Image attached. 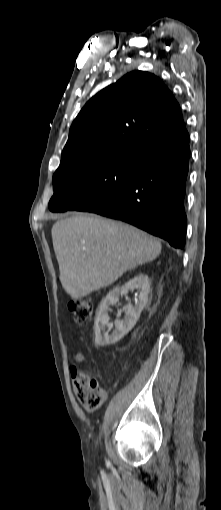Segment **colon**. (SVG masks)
Instances as JSON below:
<instances>
[{
	"mask_svg": "<svg viewBox=\"0 0 221 510\" xmlns=\"http://www.w3.org/2000/svg\"><path fill=\"white\" fill-rule=\"evenodd\" d=\"M76 323H84L88 320L92 312V303L88 299L73 300L68 305ZM78 382L81 386L79 400L88 410H96L101 407L105 394L99 386L97 380L88 371L78 373Z\"/></svg>",
	"mask_w": 221,
	"mask_h": 510,
	"instance_id": "colon-1",
	"label": "colon"
}]
</instances>
